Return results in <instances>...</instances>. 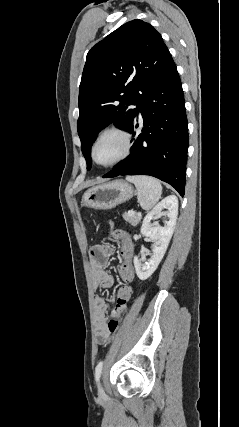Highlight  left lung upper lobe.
<instances>
[{"label":"left lung upper lobe","instance_id":"obj_1","mask_svg":"<svg viewBox=\"0 0 239 427\" xmlns=\"http://www.w3.org/2000/svg\"><path fill=\"white\" fill-rule=\"evenodd\" d=\"M174 64L161 35L142 20L120 26L88 52L79 87L77 130L91 169L98 132L114 123L126 129L145 92Z\"/></svg>","mask_w":239,"mask_h":427}]
</instances>
